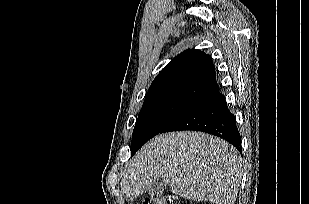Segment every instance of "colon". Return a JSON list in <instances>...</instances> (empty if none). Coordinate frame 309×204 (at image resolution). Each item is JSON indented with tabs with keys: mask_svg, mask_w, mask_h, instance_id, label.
Returning a JSON list of instances; mask_svg holds the SVG:
<instances>
[{
	"mask_svg": "<svg viewBox=\"0 0 309 204\" xmlns=\"http://www.w3.org/2000/svg\"><path fill=\"white\" fill-rule=\"evenodd\" d=\"M175 197L170 194H154L146 198L142 204H175Z\"/></svg>",
	"mask_w": 309,
	"mask_h": 204,
	"instance_id": "colon-1",
	"label": "colon"
}]
</instances>
